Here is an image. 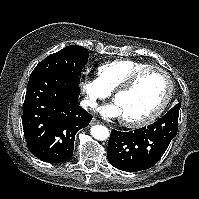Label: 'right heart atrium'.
<instances>
[{
  "mask_svg": "<svg viewBox=\"0 0 199 199\" xmlns=\"http://www.w3.org/2000/svg\"><path fill=\"white\" fill-rule=\"evenodd\" d=\"M80 89L84 95V104L91 109H94L99 100L109 96L104 86L98 78H88L80 83Z\"/></svg>",
  "mask_w": 199,
  "mask_h": 199,
  "instance_id": "right-heart-atrium-1",
  "label": "right heart atrium"
}]
</instances>
